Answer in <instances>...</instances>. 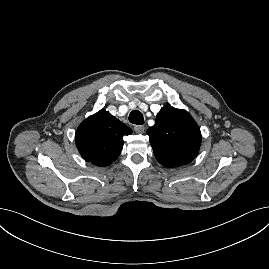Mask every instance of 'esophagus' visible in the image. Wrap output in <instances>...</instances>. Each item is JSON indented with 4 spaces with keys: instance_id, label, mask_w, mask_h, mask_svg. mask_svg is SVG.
Returning <instances> with one entry per match:
<instances>
[{
    "instance_id": "1",
    "label": "esophagus",
    "mask_w": 269,
    "mask_h": 269,
    "mask_svg": "<svg viewBox=\"0 0 269 269\" xmlns=\"http://www.w3.org/2000/svg\"><path fill=\"white\" fill-rule=\"evenodd\" d=\"M134 131L136 132V133H144V131H145V127L143 126V125H136L135 127H134Z\"/></svg>"
}]
</instances>
